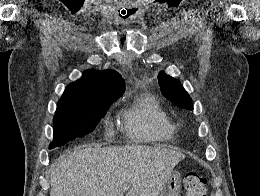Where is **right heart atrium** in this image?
Listing matches in <instances>:
<instances>
[{
	"mask_svg": "<svg viewBox=\"0 0 260 196\" xmlns=\"http://www.w3.org/2000/svg\"><path fill=\"white\" fill-rule=\"evenodd\" d=\"M128 192H152V190H128Z\"/></svg>",
	"mask_w": 260,
	"mask_h": 196,
	"instance_id": "1",
	"label": "right heart atrium"
}]
</instances>
